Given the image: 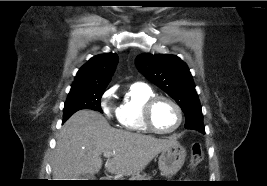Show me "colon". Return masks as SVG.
<instances>
[{"label": "colon", "mask_w": 267, "mask_h": 186, "mask_svg": "<svg viewBox=\"0 0 267 186\" xmlns=\"http://www.w3.org/2000/svg\"><path fill=\"white\" fill-rule=\"evenodd\" d=\"M203 149L200 143H193L191 145V149H190V167L191 170L193 171L199 164L200 162L203 160Z\"/></svg>", "instance_id": "1"}]
</instances>
